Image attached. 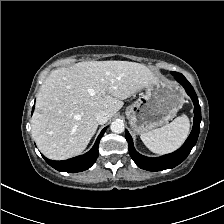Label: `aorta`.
<instances>
[{
    "mask_svg": "<svg viewBox=\"0 0 224 224\" xmlns=\"http://www.w3.org/2000/svg\"><path fill=\"white\" fill-rule=\"evenodd\" d=\"M124 128V122L120 119H116L110 125L111 131L117 134L122 133L124 131Z\"/></svg>",
    "mask_w": 224,
    "mask_h": 224,
    "instance_id": "1",
    "label": "aorta"
}]
</instances>
